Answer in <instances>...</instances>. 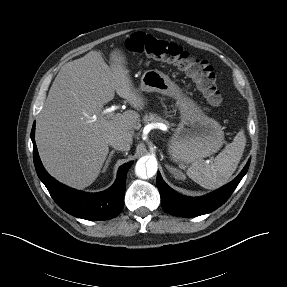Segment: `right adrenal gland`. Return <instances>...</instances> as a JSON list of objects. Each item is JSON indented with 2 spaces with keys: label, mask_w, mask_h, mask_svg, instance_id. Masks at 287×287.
<instances>
[{
  "label": "right adrenal gland",
  "mask_w": 287,
  "mask_h": 287,
  "mask_svg": "<svg viewBox=\"0 0 287 287\" xmlns=\"http://www.w3.org/2000/svg\"><path fill=\"white\" fill-rule=\"evenodd\" d=\"M114 153H115L114 150H112V151L109 153V156H108V158H107V160H106V162H105V165H104V167H103V170H102L103 173L106 172V169L108 168L109 163L111 162V159H112Z\"/></svg>",
  "instance_id": "2a0ac1e0"
}]
</instances>
